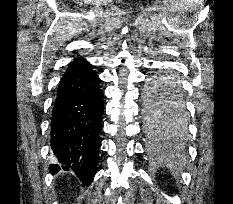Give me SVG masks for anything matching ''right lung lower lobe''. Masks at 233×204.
Instances as JSON below:
<instances>
[{
  "label": "right lung lower lobe",
  "mask_w": 233,
  "mask_h": 204,
  "mask_svg": "<svg viewBox=\"0 0 233 204\" xmlns=\"http://www.w3.org/2000/svg\"><path fill=\"white\" fill-rule=\"evenodd\" d=\"M100 79L88 62H73L57 89L50 143L63 169H72L84 185L93 180L103 114ZM52 173L60 166L51 164Z\"/></svg>",
  "instance_id": "1"
}]
</instances>
